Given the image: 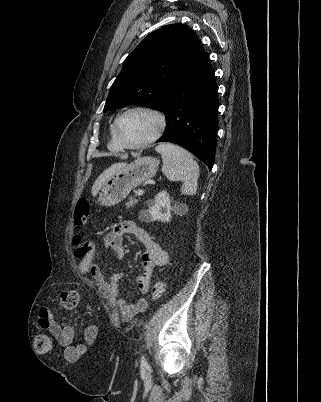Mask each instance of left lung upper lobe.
Instances as JSON below:
<instances>
[{"instance_id":"5c2ea615","label":"left lung upper lobe","mask_w":321,"mask_h":402,"mask_svg":"<svg viewBox=\"0 0 321 402\" xmlns=\"http://www.w3.org/2000/svg\"><path fill=\"white\" fill-rule=\"evenodd\" d=\"M204 53L186 25L171 24L150 33L125 59L104 112L131 104L162 110L167 96Z\"/></svg>"}]
</instances>
